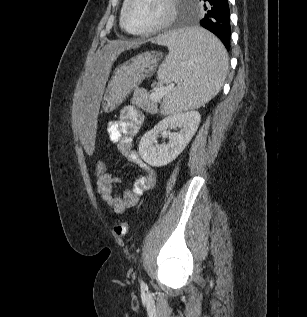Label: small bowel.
I'll list each match as a JSON object with an SVG mask.
<instances>
[{
    "label": "small bowel",
    "instance_id": "c3829d8e",
    "mask_svg": "<svg viewBox=\"0 0 307 317\" xmlns=\"http://www.w3.org/2000/svg\"><path fill=\"white\" fill-rule=\"evenodd\" d=\"M142 123L143 114L134 106L128 105L121 109L119 118L109 122L107 126L110 140L130 162L142 170V174L133 180L131 186L121 192L118 190L121 180L112 173L106 172L98 177L99 195L117 214H123L127 209L136 206L143 193L151 189L157 180L155 169L142 161L131 148L133 137Z\"/></svg>",
    "mask_w": 307,
    "mask_h": 317
}]
</instances>
